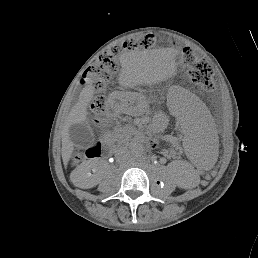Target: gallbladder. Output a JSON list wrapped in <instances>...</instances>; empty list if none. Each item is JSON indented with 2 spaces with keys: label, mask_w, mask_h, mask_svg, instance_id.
Masks as SVG:
<instances>
[{
  "label": "gallbladder",
  "mask_w": 258,
  "mask_h": 258,
  "mask_svg": "<svg viewBox=\"0 0 258 258\" xmlns=\"http://www.w3.org/2000/svg\"><path fill=\"white\" fill-rule=\"evenodd\" d=\"M69 138L74 145L81 148H86L94 142L93 132L86 123H75L70 125Z\"/></svg>",
  "instance_id": "bac80fb5"
}]
</instances>
